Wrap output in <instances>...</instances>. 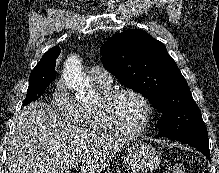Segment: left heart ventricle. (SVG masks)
Listing matches in <instances>:
<instances>
[{
	"instance_id": "b2bd125f",
	"label": "left heart ventricle",
	"mask_w": 219,
	"mask_h": 173,
	"mask_svg": "<svg viewBox=\"0 0 219 173\" xmlns=\"http://www.w3.org/2000/svg\"><path fill=\"white\" fill-rule=\"evenodd\" d=\"M112 113L116 123L122 129L133 131L141 127L145 108L136 96L123 94L114 102Z\"/></svg>"
}]
</instances>
